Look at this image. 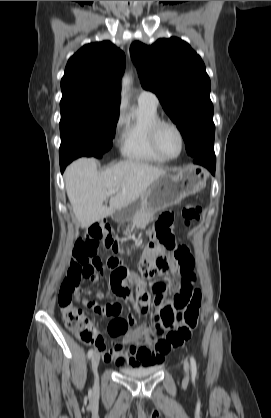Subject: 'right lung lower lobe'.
Wrapping results in <instances>:
<instances>
[{
    "label": "right lung lower lobe",
    "mask_w": 271,
    "mask_h": 418,
    "mask_svg": "<svg viewBox=\"0 0 271 418\" xmlns=\"http://www.w3.org/2000/svg\"><path fill=\"white\" fill-rule=\"evenodd\" d=\"M74 159L72 158H60V168H61V172L63 173L64 169L66 168V166Z\"/></svg>",
    "instance_id": "98d812e1"
}]
</instances>
